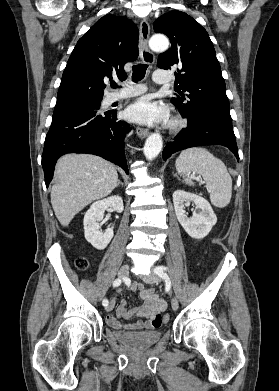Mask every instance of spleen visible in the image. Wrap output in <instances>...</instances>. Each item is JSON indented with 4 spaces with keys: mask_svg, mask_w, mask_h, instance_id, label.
Wrapping results in <instances>:
<instances>
[{
    "mask_svg": "<svg viewBox=\"0 0 279 391\" xmlns=\"http://www.w3.org/2000/svg\"><path fill=\"white\" fill-rule=\"evenodd\" d=\"M175 166L177 172L183 175L185 183L189 186H194V182L188 176L190 172L202 175L214 206L223 208L230 203L231 176L225 164L207 149L192 147L183 150L177 158Z\"/></svg>",
    "mask_w": 279,
    "mask_h": 391,
    "instance_id": "3e777b00",
    "label": "spleen"
}]
</instances>
